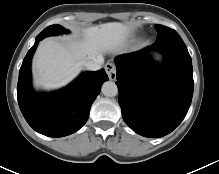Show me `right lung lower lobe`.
<instances>
[{
	"mask_svg": "<svg viewBox=\"0 0 219 174\" xmlns=\"http://www.w3.org/2000/svg\"><path fill=\"white\" fill-rule=\"evenodd\" d=\"M41 39L25 56L19 71L17 98L28 124L38 133L63 137L78 131L87 121L90 108L108 80L104 69L85 71L69 86L50 93L37 94L31 86V59Z\"/></svg>",
	"mask_w": 219,
	"mask_h": 174,
	"instance_id": "right-lung-lower-lobe-1",
	"label": "right lung lower lobe"
}]
</instances>
